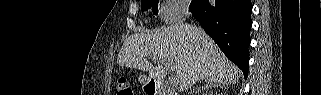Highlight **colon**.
I'll use <instances>...</instances> for the list:
<instances>
[{"mask_svg":"<svg viewBox=\"0 0 321 95\" xmlns=\"http://www.w3.org/2000/svg\"><path fill=\"white\" fill-rule=\"evenodd\" d=\"M118 95H134V92L126 79H120L117 87Z\"/></svg>","mask_w":321,"mask_h":95,"instance_id":"obj_1","label":"colon"}]
</instances>
